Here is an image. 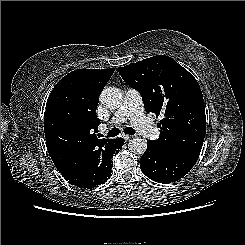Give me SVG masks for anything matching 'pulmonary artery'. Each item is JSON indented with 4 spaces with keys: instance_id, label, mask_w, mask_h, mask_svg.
Here are the masks:
<instances>
[{
    "instance_id": "1",
    "label": "pulmonary artery",
    "mask_w": 245,
    "mask_h": 245,
    "mask_svg": "<svg viewBox=\"0 0 245 245\" xmlns=\"http://www.w3.org/2000/svg\"><path fill=\"white\" fill-rule=\"evenodd\" d=\"M130 119L140 135L146 139L158 137L157 128L147 120L144 114L142 97L138 91L128 89L121 107L115 112L113 123H123Z\"/></svg>"
}]
</instances>
